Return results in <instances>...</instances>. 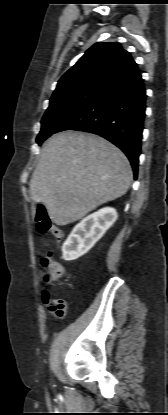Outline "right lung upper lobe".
I'll list each match as a JSON object with an SVG mask.
<instances>
[{
    "instance_id": "cb5924a9",
    "label": "right lung upper lobe",
    "mask_w": 168,
    "mask_h": 415,
    "mask_svg": "<svg viewBox=\"0 0 168 415\" xmlns=\"http://www.w3.org/2000/svg\"><path fill=\"white\" fill-rule=\"evenodd\" d=\"M137 64L117 42H98L58 81L51 99L80 90L103 91Z\"/></svg>"
}]
</instances>
